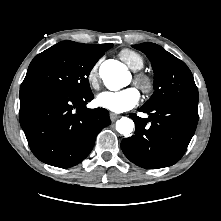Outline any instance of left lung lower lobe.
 I'll return each mask as SVG.
<instances>
[{
	"mask_svg": "<svg viewBox=\"0 0 221 221\" xmlns=\"http://www.w3.org/2000/svg\"><path fill=\"white\" fill-rule=\"evenodd\" d=\"M148 119L130 115L135 134L121 142L125 156L134 164L158 169L178 162L194 135L198 122V103L171 100L145 107Z\"/></svg>",
	"mask_w": 221,
	"mask_h": 221,
	"instance_id": "1",
	"label": "left lung lower lobe"
}]
</instances>
